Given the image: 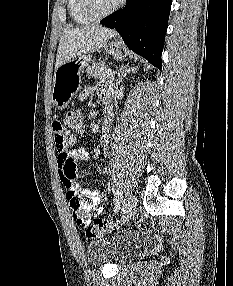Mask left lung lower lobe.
Returning <instances> with one entry per match:
<instances>
[{
  "label": "left lung lower lobe",
  "instance_id": "0a47b994",
  "mask_svg": "<svg viewBox=\"0 0 233 286\" xmlns=\"http://www.w3.org/2000/svg\"><path fill=\"white\" fill-rule=\"evenodd\" d=\"M172 0H128L126 6L100 21L115 28L125 44L161 69V53Z\"/></svg>",
  "mask_w": 233,
  "mask_h": 286
}]
</instances>
